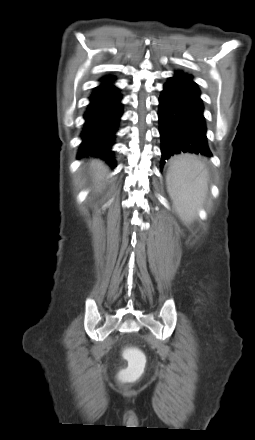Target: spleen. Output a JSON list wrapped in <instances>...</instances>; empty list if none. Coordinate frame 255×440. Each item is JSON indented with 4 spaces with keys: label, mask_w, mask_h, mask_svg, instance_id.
I'll return each mask as SVG.
<instances>
[{
    "label": "spleen",
    "mask_w": 255,
    "mask_h": 440,
    "mask_svg": "<svg viewBox=\"0 0 255 440\" xmlns=\"http://www.w3.org/2000/svg\"><path fill=\"white\" fill-rule=\"evenodd\" d=\"M208 172L195 156L185 154L170 160L167 175L169 194L185 222L196 216L197 207L204 199Z\"/></svg>",
    "instance_id": "1"
}]
</instances>
